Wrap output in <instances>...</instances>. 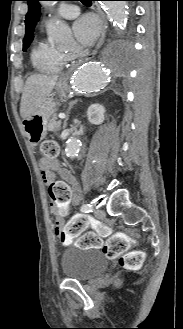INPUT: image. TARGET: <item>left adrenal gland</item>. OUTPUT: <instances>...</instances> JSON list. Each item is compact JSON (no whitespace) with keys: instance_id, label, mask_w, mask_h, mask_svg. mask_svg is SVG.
Wrapping results in <instances>:
<instances>
[{"instance_id":"obj_1","label":"left adrenal gland","mask_w":183,"mask_h":329,"mask_svg":"<svg viewBox=\"0 0 183 329\" xmlns=\"http://www.w3.org/2000/svg\"><path fill=\"white\" fill-rule=\"evenodd\" d=\"M77 102H78V99L69 102V107H68V111H67V117H66V119L64 121V128L67 126V121H68V118H69V113H70L71 109L73 108V106Z\"/></svg>"}]
</instances>
